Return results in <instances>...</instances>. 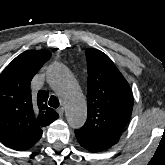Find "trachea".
Returning a JSON list of instances; mask_svg holds the SVG:
<instances>
[{
  "mask_svg": "<svg viewBox=\"0 0 165 165\" xmlns=\"http://www.w3.org/2000/svg\"><path fill=\"white\" fill-rule=\"evenodd\" d=\"M59 100L56 96L52 95L49 99V106L53 108H58L59 107Z\"/></svg>",
  "mask_w": 165,
  "mask_h": 165,
  "instance_id": "trachea-1",
  "label": "trachea"
}]
</instances>
